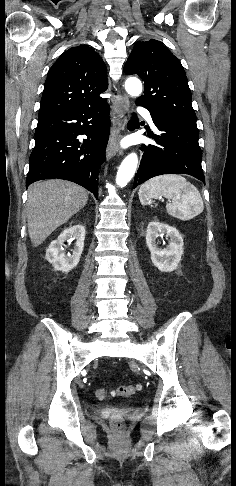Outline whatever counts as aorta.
Returning <instances> with one entry per match:
<instances>
[{
	"label": "aorta",
	"mask_w": 236,
	"mask_h": 486,
	"mask_svg": "<svg viewBox=\"0 0 236 486\" xmlns=\"http://www.w3.org/2000/svg\"><path fill=\"white\" fill-rule=\"evenodd\" d=\"M125 89L131 96H138L142 92V84L139 79L130 77L125 82ZM137 165L138 156L136 153H131L126 156L118 169L116 184L120 187H125L134 176Z\"/></svg>",
	"instance_id": "obj_1"
}]
</instances>
